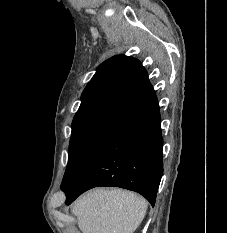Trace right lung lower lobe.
I'll use <instances>...</instances> for the list:
<instances>
[{
    "label": "right lung lower lobe",
    "mask_w": 227,
    "mask_h": 233,
    "mask_svg": "<svg viewBox=\"0 0 227 233\" xmlns=\"http://www.w3.org/2000/svg\"><path fill=\"white\" fill-rule=\"evenodd\" d=\"M159 112L119 134L65 190L66 204L96 186H113L143 195L152 206L163 174Z\"/></svg>",
    "instance_id": "98d812e1"
}]
</instances>
